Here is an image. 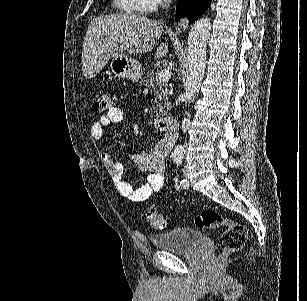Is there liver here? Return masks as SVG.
Returning <instances> with one entry per match:
<instances>
[{"instance_id": "liver-1", "label": "liver", "mask_w": 307, "mask_h": 301, "mask_svg": "<svg viewBox=\"0 0 307 301\" xmlns=\"http://www.w3.org/2000/svg\"><path fill=\"white\" fill-rule=\"evenodd\" d=\"M164 26L158 20L135 14H105L91 20L83 40L82 70L85 78L96 76L115 54H140L152 50ZM168 52L161 42L155 58Z\"/></svg>"}]
</instances>
